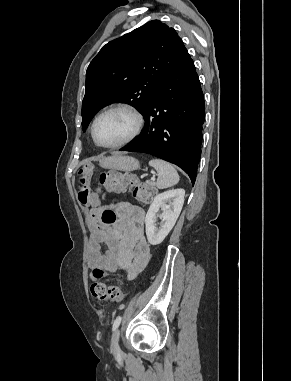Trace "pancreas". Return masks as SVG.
Returning a JSON list of instances; mask_svg holds the SVG:
<instances>
[{
    "label": "pancreas",
    "mask_w": 291,
    "mask_h": 381,
    "mask_svg": "<svg viewBox=\"0 0 291 381\" xmlns=\"http://www.w3.org/2000/svg\"><path fill=\"white\" fill-rule=\"evenodd\" d=\"M147 184L151 186L153 189H155V183L153 181H148Z\"/></svg>",
    "instance_id": "pancreas-1"
}]
</instances>
